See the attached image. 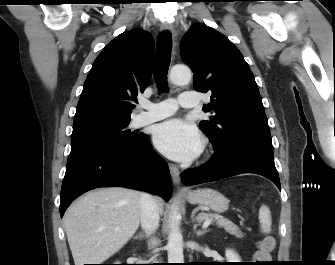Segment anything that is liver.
<instances>
[{"instance_id":"liver-1","label":"liver","mask_w":335,"mask_h":265,"mask_svg":"<svg viewBox=\"0 0 335 265\" xmlns=\"http://www.w3.org/2000/svg\"><path fill=\"white\" fill-rule=\"evenodd\" d=\"M140 198L138 191L101 188L68 208L64 227L75 265L101 264L132 238L139 227ZM155 202L162 212V200Z\"/></svg>"}]
</instances>
